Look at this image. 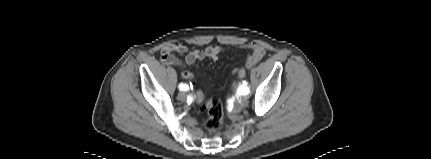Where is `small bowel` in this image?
<instances>
[{
  "label": "small bowel",
  "instance_id": "obj_1",
  "mask_svg": "<svg viewBox=\"0 0 431 159\" xmlns=\"http://www.w3.org/2000/svg\"><path fill=\"white\" fill-rule=\"evenodd\" d=\"M245 48L251 50V54L247 57L246 62L243 66L234 70V73L237 74V71L243 69L246 73V70L256 65L265 55V49L263 46L259 44H249L245 45ZM188 48L184 44H168L165 45L161 50V61L163 64L168 66H186L192 65L196 61L202 60L205 57L211 58L213 60H217L220 53L223 49L219 46H208L203 50H193L189 52L184 61L179 60L174 53H186Z\"/></svg>",
  "mask_w": 431,
  "mask_h": 159
}]
</instances>
